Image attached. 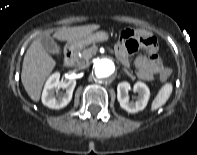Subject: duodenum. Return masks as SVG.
Wrapping results in <instances>:
<instances>
[{
  "label": "duodenum",
  "mask_w": 197,
  "mask_h": 155,
  "mask_svg": "<svg viewBox=\"0 0 197 155\" xmlns=\"http://www.w3.org/2000/svg\"><path fill=\"white\" fill-rule=\"evenodd\" d=\"M76 58L75 47L71 46L65 50L63 63L65 66H71Z\"/></svg>",
  "instance_id": "410a0bca"
}]
</instances>
